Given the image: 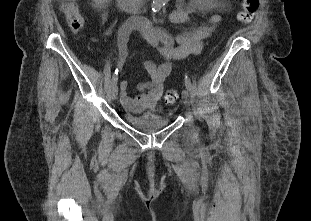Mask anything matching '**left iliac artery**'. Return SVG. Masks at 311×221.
Listing matches in <instances>:
<instances>
[{"label": "left iliac artery", "instance_id": "44dca946", "mask_svg": "<svg viewBox=\"0 0 311 221\" xmlns=\"http://www.w3.org/2000/svg\"><path fill=\"white\" fill-rule=\"evenodd\" d=\"M185 86H186V88H187L189 91H191L192 85H191V81H190V79L188 78V76H185Z\"/></svg>", "mask_w": 311, "mask_h": 221}]
</instances>
